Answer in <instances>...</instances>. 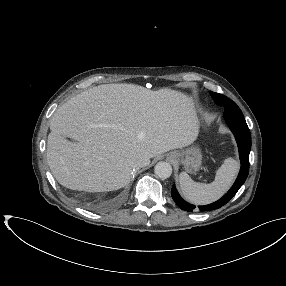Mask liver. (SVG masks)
Listing matches in <instances>:
<instances>
[{
	"mask_svg": "<svg viewBox=\"0 0 286 286\" xmlns=\"http://www.w3.org/2000/svg\"><path fill=\"white\" fill-rule=\"evenodd\" d=\"M49 125L47 163L53 176L85 192L125 187L137 165L192 144L199 131L191 97L134 84L86 90L60 106Z\"/></svg>",
	"mask_w": 286,
	"mask_h": 286,
	"instance_id": "liver-1",
	"label": "liver"
}]
</instances>
